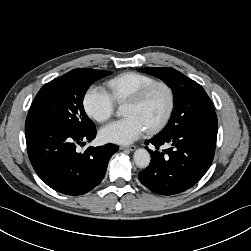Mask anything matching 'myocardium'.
Masks as SVG:
<instances>
[{
  "instance_id": "myocardium-1",
  "label": "myocardium",
  "mask_w": 251,
  "mask_h": 251,
  "mask_svg": "<svg viewBox=\"0 0 251 251\" xmlns=\"http://www.w3.org/2000/svg\"><path fill=\"white\" fill-rule=\"evenodd\" d=\"M161 87L165 89L168 95V107L163 115V117L152 127L148 128L147 131L151 134L156 133L160 131L170 120L174 108H175V93L173 88L164 81H155L145 87H143L141 90H139L135 95H133L130 99L127 100V103L132 104H142L147 97L150 95V93L155 89Z\"/></svg>"
}]
</instances>
